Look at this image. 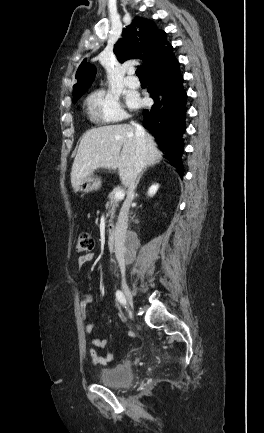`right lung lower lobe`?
<instances>
[{"instance_id": "98d812e1", "label": "right lung lower lobe", "mask_w": 264, "mask_h": 433, "mask_svg": "<svg viewBox=\"0 0 264 433\" xmlns=\"http://www.w3.org/2000/svg\"><path fill=\"white\" fill-rule=\"evenodd\" d=\"M145 76L154 104L149 110H143V126L156 138L165 157L182 177V134L185 131L187 95L179 62L173 56L166 63L150 69Z\"/></svg>"}]
</instances>
